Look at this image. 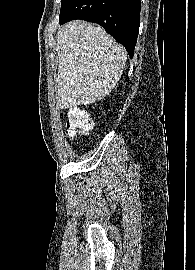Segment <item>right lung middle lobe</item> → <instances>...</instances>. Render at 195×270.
I'll use <instances>...</instances> for the list:
<instances>
[{"label": "right lung middle lobe", "instance_id": "dd1d6c3e", "mask_svg": "<svg viewBox=\"0 0 195 270\" xmlns=\"http://www.w3.org/2000/svg\"><path fill=\"white\" fill-rule=\"evenodd\" d=\"M73 2V0H61V10L60 13L64 12L70 4Z\"/></svg>", "mask_w": 195, "mask_h": 270}]
</instances>
